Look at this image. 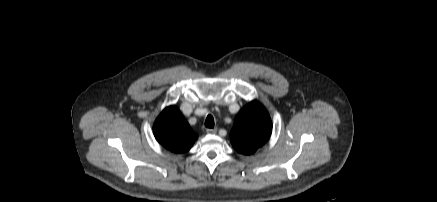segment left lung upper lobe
<instances>
[{"label": "left lung upper lobe", "instance_id": "5c2ea615", "mask_svg": "<svg viewBox=\"0 0 437 202\" xmlns=\"http://www.w3.org/2000/svg\"><path fill=\"white\" fill-rule=\"evenodd\" d=\"M272 123L266 109L252 101L237 114L230 133L234 149L244 155L256 152L270 138Z\"/></svg>", "mask_w": 437, "mask_h": 202}]
</instances>
